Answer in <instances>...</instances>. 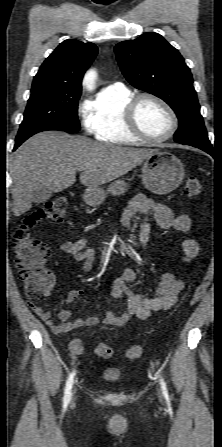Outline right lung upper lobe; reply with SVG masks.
<instances>
[{
    "mask_svg": "<svg viewBox=\"0 0 222 447\" xmlns=\"http://www.w3.org/2000/svg\"><path fill=\"white\" fill-rule=\"evenodd\" d=\"M96 55L93 43L63 41L41 65L32 88L48 86L65 95H81L82 77Z\"/></svg>",
    "mask_w": 222,
    "mask_h": 447,
    "instance_id": "1",
    "label": "right lung upper lobe"
}]
</instances>
